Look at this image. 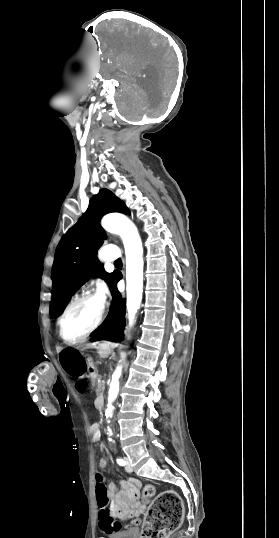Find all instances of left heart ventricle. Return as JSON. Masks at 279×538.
<instances>
[{"instance_id":"left-heart-ventricle-1","label":"left heart ventricle","mask_w":279,"mask_h":538,"mask_svg":"<svg viewBox=\"0 0 279 538\" xmlns=\"http://www.w3.org/2000/svg\"><path fill=\"white\" fill-rule=\"evenodd\" d=\"M99 306L100 302L97 299H86L76 304L64 320V337L73 341L85 333L94 323Z\"/></svg>"}]
</instances>
